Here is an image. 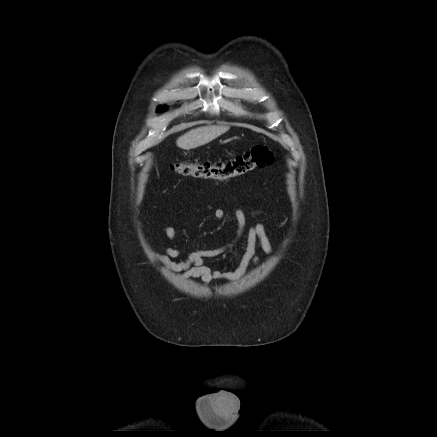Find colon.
<instances>
[{
	"instance_id": "obj_1",
	"label": "colon",
	"mask_w": 437,
	"mask_h": 437,
	"mask_svg": "<svg viewBox=\"0 0 437 437\" xmlns=\"http://www.w3.org/2000/svg\"><path fill=\"white\" fill-rule=\"evenodd\" d=\"M273 151L264 145H256L231 160L205 161L199 163L177 162L171 169L183 176L199 179L225 181L271 165Z\"/></svg>"
}]
</instances>
